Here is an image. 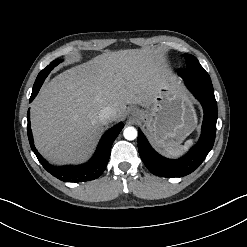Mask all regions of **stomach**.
<instances>
[{
	"instance_id": "1",
	"label": "stomach",
	"mask_w": 247,
	"mask_h": 247,
	"mask_svg": "<svg viewBox=\"0 0 247 247\" xmlns=\"http://www.w3.org/2000/svg\"><path fill=\"white\" fill-rule=\"evenodd\" d=\"M139 114L149 137L159 147L181 144L197 125L193 102L177 83L161 88L151 105Z\"/></svg>"
}]
</instances>
